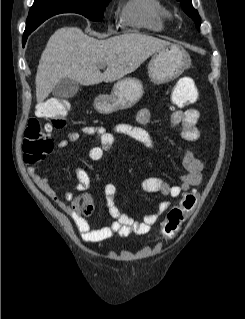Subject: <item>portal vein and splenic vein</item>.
<instances>
[{
    "mask_svg": "<svg viewBox=\"0 0 245 319\" xmlns=\"http://www.w3.org/2000/svg\"><path fill=\"white\" fill-rule=\"evenodd\" d=\"M101 67H105V65H104V64H102V65H101Z\"/></svg>",
    "mask_w": 245,
    "mask_h": 319,
    "instance_id": "1",
    "label": "portal vein and splenic vein"
}]
</instances>
